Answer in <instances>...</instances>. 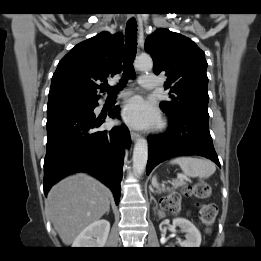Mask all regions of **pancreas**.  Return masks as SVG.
Returning a JSON list of instances; mask_svg holds the SVG:
<instances>
[{
	"mask_svg": "<svg viewBox=\"0 0 261 261\" xmlns=\"http://www.w3.org/2000/svg\"><path fill=\"white\" fill-rule=\"evenodd\" d=\"M184 183H180L179 185H183Z\"/></svg>",
	"mask_w": 261,
	"mask_h": 261,
	"instance_id": "obj_1",
	"label": "pancreas"
}]
</instances>
